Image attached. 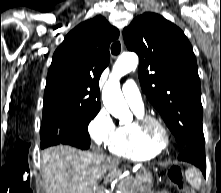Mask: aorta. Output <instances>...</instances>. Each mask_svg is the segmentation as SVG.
<instances>
[{"instance_id": "aorta-1", "label": "aorta", "mask_w": 221, "mask_h": 193, "mask_svg": "<svg viewBox=\"0 0 221 193\" xmlns=\"http://www.w3.org/2000/svg\"><path fill=\"white\" fill-rule=\"evenodd\" d=\"M137 65L138 56L135 53H127L120 56L115 62L112 73L102 91L104 106L111 115L121 121L130 120L132 114L123 97L120 88V79L135 70Z\"/></svg>"}]
</instances>
